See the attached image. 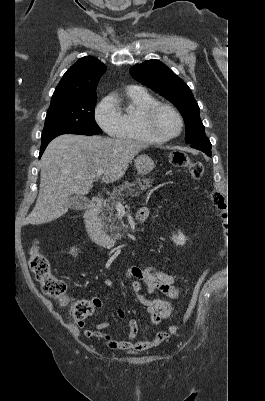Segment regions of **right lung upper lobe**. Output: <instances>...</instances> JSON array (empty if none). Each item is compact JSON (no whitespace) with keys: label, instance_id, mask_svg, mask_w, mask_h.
Here are the masks:
<instances>
[{"label":"right lung upper lobe","instance_id":"obj_1","mask_svg":"<svg viewBox=\"0 0 265 401\" xmlns=\"http://www.w3.org/2000/svg\"><path fill=\"white\" fill-rule=\"evenodd\" d=\"M106 66L93 56L79 59L64 74L56 87L50 106L71 99L96 95V88Z\"/></svg>","mask_w":265,"mask_h":401}]
</instances>
